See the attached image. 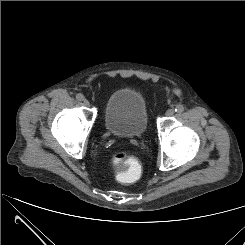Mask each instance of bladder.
Instances as JSON below:
<instances>
[{
	"label": "bladder",
	"mask_w": 245,
	"mask_h": 245,
	"mask_svg": "<svg viewBox=\"0 0 245 245\" xmlns=\"http://www.w3.org/2000/svg\"><path fill=\"white\" fill-rule=\"evenodd\" d=\"M148 123V111L143 96L133 89H118L104 106V127L112 135L137 137Z\"/></svg>",
	"instance_id": "obj_1"
}]
</instances>
